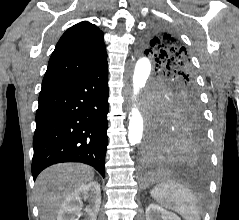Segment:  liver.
Returning <instances> with one entry per match:
<instances>
[{"mask_svg": "<svg viewBox=\"0 0 239 220\" xmlns=\"http://www.w3.org/2000/svg\"><path fill=\"white\" fill-rule=\"evenodd\" d=\"M94 171L78 163L53 165L36 180L37 201L41 220H56L62 202L77 187L91 182Z\"/></svg>", "mask_w": 239, "mask_h": 220, "instance_id": "liver-1", "label": "liver"}]
</instances>
